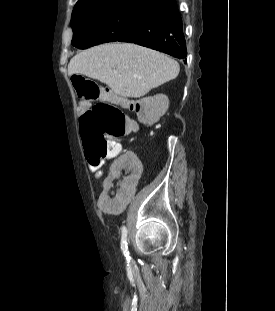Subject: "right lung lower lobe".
I'll use <instances>...</instances> for the list:
<instances>
[{
	"label": "right lung lower lobe",
	"mask_w": 275,
	"mask_h": 311,
	"mask_svg": "<svg viewBox=\"0 0 275 311\" xmlns=\"http://www.w3.org/2000/svg\"><path fill=\"white\" fill-rule=\"evenodd\" d=\"M117 41L139 44L187 62L182 19L174 0L139 19Z\"/></svg>",
	"instance_id": "obj_1"
}]
</instances>
